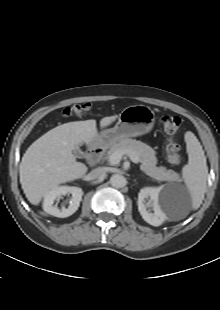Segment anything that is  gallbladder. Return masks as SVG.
Returning a JSON list of instances; mask_svg holds the SVG:
<instances>
[{
    "instance_id": "1",
    "label": "gallbladder",
    "mask_w": 220,
    "mask_h": 310,
    "mask_svg": "<svg viewBox=\"0 0 220 310\" xmlns=\"http://www.w3.org/2000/svg\"><path fill=\"white\" fill-rule=\"evenodd\" d=\"M73 153H74L75 157H77V158H83V156H84V153L79 148L74 149Z\"/></svg>"
}]
</instances>
